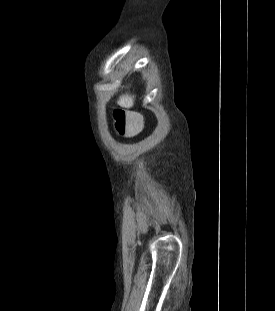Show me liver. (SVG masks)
<instances>
[{"instance_id":"obj_1","label":"liver","mask_w":275,"mask_h":311,"mask_svg":"<svg viewBox=\"0 0 275 311\" xmlns=\"http://www.w3.org/2000/svg\"><path fill=\"white\" fill-rule=\"evenodd\" d=\"M117 103L124 108H131L134 104V96L125 94L119 97Z\"/></svg>"}]
</instances>
